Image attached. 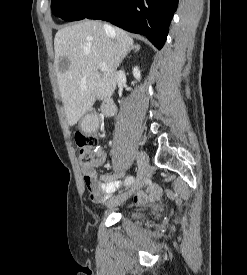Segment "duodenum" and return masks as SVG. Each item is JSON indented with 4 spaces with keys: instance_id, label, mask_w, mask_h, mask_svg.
I'll list each match as a JSON object with an SVG mask.
<instances>
[{
    "instance_id": "obj_1",
    "label": "duodenum",
    "mask_w": 247,
    "mask_h": 275,
    "mask_svg": "<svg viewBox=\"0 0 247 275\" xmlns=\"http://www.w3.org/2000/svg\"><path fill=\"white\" fill-rule=\"evenodd\" d=\"M116 105L111 98H106L103 102L100 115L103 117H109L114 114Z\"/></svg>"
}]
</instances>
